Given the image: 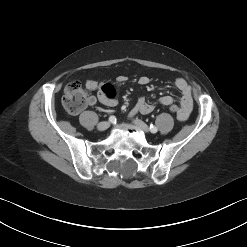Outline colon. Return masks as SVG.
<instances>
[{
	"label": "colon",
	"instance_id": "1",
	"mask_svg": "<svg viewBox=\"0 0 247 247\" xmlns=\"http://www.w3.org/2000/svg\"><path fill=\"white\" fill-rule=\"evenodd\" d=\"M87 99L88 95L81 84L79 82H71L64 90L62 103L68 113L76 114L87 105ZM169 110L177 116L179 106L171 104L169 105Z\"/></svg>",
	"mask_w": 247,
	"mask_h": 247
}]
</instances>
